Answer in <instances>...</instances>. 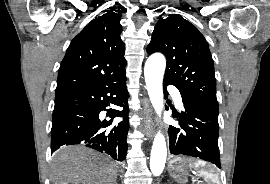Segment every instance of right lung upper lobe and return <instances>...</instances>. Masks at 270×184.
I'll use <instances>...</instances> for the list:
<instances>
[{
    "instance_id": "1",
    "label": "right lung upper lobe",
    "mask_w": 270,
    "mask_h": 184,
    "mask_svg": "<svg viewBox=\"0 0 270 184\" xmlns=\"http://www.w3.org/2000/svg\"><path fill=\"white\" fill-rule=\"evenodd\" d=\"M121 16L111 9L93 19L71 41L59 68L56 93L104 84L125 75Z\"/></svg>"
}]
</instances>
